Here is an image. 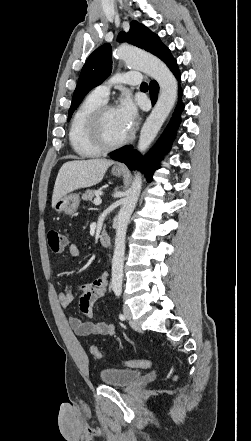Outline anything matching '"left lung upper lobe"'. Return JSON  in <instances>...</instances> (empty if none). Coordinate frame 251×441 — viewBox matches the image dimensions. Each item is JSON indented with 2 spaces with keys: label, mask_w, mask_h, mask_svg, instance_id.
Listing matches in <instances>:
<instances>
[{
  "label": "left lung upper lobe",
  "mask_w": 251,
  "mask_h": 441,
  "mask_svg": "<svg viewBox=\"0 0 251 441\" xmlns=\"http://www.w3.org/2000/svg\"><path fill=\"white\" fill-rule=\"evenodd\" d=\"M118 41H127L141 49H144L162 59L168 52V48L162 44L159 37L151 32L146 26L137 21L130 23V30L126 34L121 32ZM111 45L104 44L96 49L87 59L79 76L76 89L73 94L68 117L79 106L85 95L94 87L100 85L111 73Z\"/></svg>",
  "instance_id": "5c2ea615"
}]
</instances>
